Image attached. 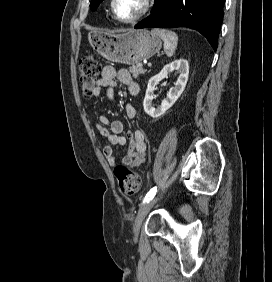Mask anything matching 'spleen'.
<instances>
[{"mask_svg":"<svg viewBox=\"0 0 272 282\" xmlns=\"http://www.w3.org/2000/svg\"><path fill=\"white\" fill-rule=\"evenodd\" d=\"M151 33L160 37L164 41V51L168 57H172L177 48V34L173 31L158 28L152 29Z\"/></svg>","mask_w":272,"mask_h":282,"instance_id":"obj_1","label":"spleen"}]
</instances>
